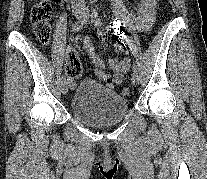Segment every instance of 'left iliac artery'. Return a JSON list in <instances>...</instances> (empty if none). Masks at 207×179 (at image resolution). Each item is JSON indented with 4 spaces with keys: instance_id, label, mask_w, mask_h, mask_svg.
Segmentation results:
<instances>
[{
    "instance_id": "44dca946",
    "label": "left iliac artery",
    "mask_w": 207,
    "mask_h": 179,
    "mask_svg": "<svg viewBox=\"0 0 207 179\" xmlns=\"http://www.w3.org/2000/svg\"><path fill=\"white\" fill-rule=\"evenodd\" d=\"M92 18H93L92 20L95 23V25L99 26V25L102 24L101 19L98 17L97 12L93 13ZM132 69H133L134 72H138V68H137V66L135 64H133V68Z\"/></svg>"
}]
</instances>
